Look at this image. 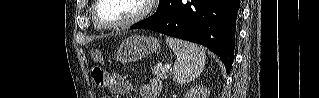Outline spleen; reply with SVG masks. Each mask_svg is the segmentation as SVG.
Here are the masks:
<instances>
[{
	"mask_svg": "<svg viewBox=\"0 0 319 98\" xmlns=\"http://www.w3.org/2000/svg\"><path fill=\"white\" fill-rule=\"evenodd\" d=\"M166 43L177 57L173 70L174 80L179 84L195 80L205 66L204 50L196 44L175 38H166Z\"/></svg>",
	"mask_w": 319,
	"mask_h": 98,
	"instance_id": "obj_1",
	"label": "spleen"
}]
</instances>
